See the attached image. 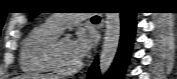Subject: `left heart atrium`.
I'll list each match as a JSON object with an SVG mask.
<instances>
[{"label": "left heart atrium", "instance_id": "obj_1", "mask_svg": "<svg viewBox=\"0 0 177 79\" xmlns=\"http://www.w3.org/2000/svg\"><path fill=\"white\" fill-rule=\"evenodd\" d=\"M93 40L84 31L77 34L72 41V51L76 59L81 62L84 60L92 48Z\"/></svg>", "mask_w": 177, "mask_h": 79}]
</instances>
